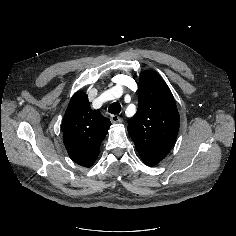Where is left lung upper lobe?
Listing matches in <instances>:
<instances>
[{
    "instance_id": "left-lung-upper-lobe-1",
    "label": "left lung upper lobe",
    "mask_w": 236,
    "mask_h": 236,
    "mask_svg": "<svg viewBox=\"0 0 236 236\" xmlns=\"http://www.w3.org/2000/svg\"><path fill=\"white\" fill-rule=\"evenodd\" d=\"M179 113L171 91L154 71L140 76L138 110L128 123V133L141 158L160 162L176 141Z\"/></svg>"
}]
</instances>
